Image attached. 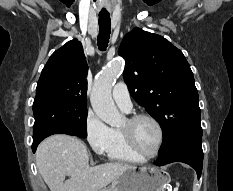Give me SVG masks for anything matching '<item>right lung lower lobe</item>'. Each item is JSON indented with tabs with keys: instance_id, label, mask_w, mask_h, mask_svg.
<instances>
[{
	"instance_id": "98d812e1",
	"label": "right lung lower lobe",
	"mask_w": 233,
	"mask_h": 191,
	"mask_svg": "<svg viewBox=\"0 0 233 191\" xmlns=\"http://www.w3.org/2000/svg\"><path fill=\"white\" fill-rule=\"evenodd\" d=\"M52 134H55V133H46V134H42V135H40V136H38V137H36V138H33V144H32V150H33V152L36 151V148H37L38 144H39L43 139H45L46 137H48V136H50V135H52Z\"/></svg>"
}]
</instances>
